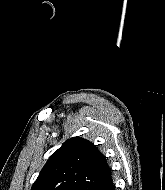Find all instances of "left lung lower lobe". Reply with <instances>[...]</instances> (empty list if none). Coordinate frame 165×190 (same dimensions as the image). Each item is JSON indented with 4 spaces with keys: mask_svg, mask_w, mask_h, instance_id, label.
Masks as SVG:
<instances>
[{
    "mask_svg": "<svg viewBox=\"0 0 165 190\" xmlns=\"http://www.w3.org/2000/svg\"><path fill=\"white\" fill-rule=\"evenodd\" d=\"M100 190H115V185L113 183V179L111 175L103 184V186L100 188Z\"/></svg>",
    "mask_w": 165,
    "mask_h": 190,
    "instance_id": "left-lung-lower-lobe-1",
    "label": "left lung lower lobe"
}]
</instances>
